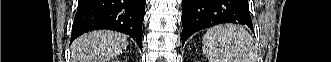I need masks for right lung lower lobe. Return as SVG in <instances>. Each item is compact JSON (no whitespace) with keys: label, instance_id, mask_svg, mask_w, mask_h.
Listing matches in <instances>:
<instances>
[{"label":"right lung lower lobe","instance_id":"98d812e1","mask_svg":"<svg viewBox=\"0 0 331 62\" xmlns=\"http://www.w3.org/2000/svg\"><path fill=\"white\" fill-rule=\"evenodd\" d=\"M146 0H79L71 42L83 33L109 29L131 36L142 49Z\"/></svg>","mask_w":331,"mask_h":62}]
</instances>
